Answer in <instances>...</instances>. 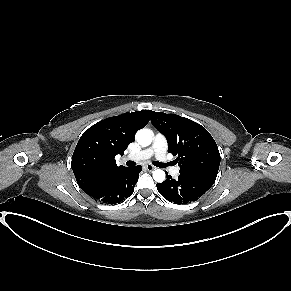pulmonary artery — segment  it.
Wrapping results in <instances>:
<instances>
[{
    "label": "pulmonary artery",
    "mask_w": 291,
    "mask_h": 291,
    "mask_svg": "<svg viewBox=\"0 0 291 291\" xmlns=\"http://www.w3.org/2000/svg\"><path fill=\"white\" fill-rule=\"evenodd\" d=\"M167 146L168 144L166 138L162 134L158 133L154 138L152 146L140 151L132 158L137 161H142L147 160L152 156H155L160 163L164 164L165 168H169V171L173 177H178L180 167L171 166L170 163L167 161Z\"/></svg>",
    "instance_id": "obj_1"
}]
</instances>
